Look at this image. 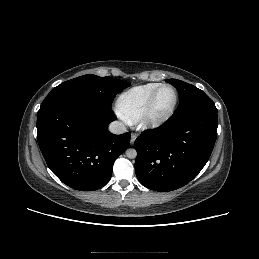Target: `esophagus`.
<instances>
[{
    "label": "esophagus",
    "mask_w": 259,
    "mask_h": 259,
    "mask_svg": "<svg viewBox=\"0 0 259 259\" xmlns=\"http://www.w3.org/2000/svg\"><path fill=\"white\" fill-rule=\"evenodd\" d=\"M136 140V134L132 133L130 138V143L133 145Z\"/></svg>",
    "instance_id": "1"
}]
</instances>
